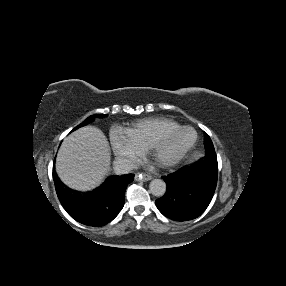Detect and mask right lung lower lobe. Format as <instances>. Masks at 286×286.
I'll list each match as a JSON object with an SVG mask.
<instances>
[{"label": "right lung lower lobe", "instance_id": "98d812e1", "mask_svg": "<svg viewBox=\"0 0 286 286\" xmlns=\"http://www.w3.org/2000/svg\"><path fill=\"white\" fill-rule=\"evenodd\" d=\"M53 179L67 213L82 224L99 227L113 220L123 208L125 190L134 174L110 176L99 187L85 193L67 190L54 171Z\"/></svg>", "mask_w": 286, "mask_h": 286}]
</instances>
